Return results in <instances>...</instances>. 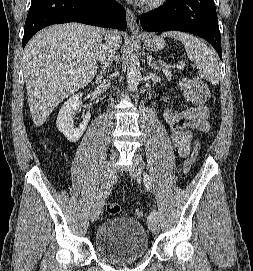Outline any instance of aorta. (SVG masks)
I'll return each mask as SVG.
<instances>
[{
    "mask_svg": "<svg viewBox=\"0 0 253 271\" xmlns=\"http://www.w3.org/2000/svg\"><path fill=\"white\" fill-rule=\"evenodd\" d=\"M141 78L140 61L138 56L131 55L127 65V83L130 91H135Z\"/></svg>",
    "mask_w": 253,
    "mask_h": 271,
    "instance_id": "762f6f07",
    "label": "aorta"
}]
</instances>
